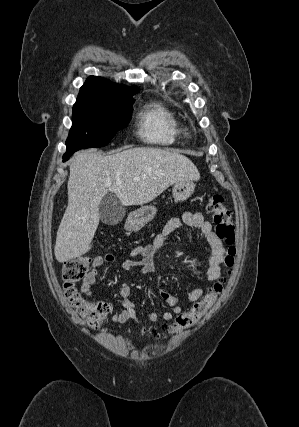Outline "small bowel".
<instances>
[{"label":"small bowel","mask_w":299,"mask_h":427,"mask_svg":"<svg viewBox=\"0 0 299 427\" xmlns=\"http://www.w3.org/2000/svg\"><path fill=\"white\" fill-rule=\"evenodd\" d=\"M187 225L196 228L206 238L210 247V256L206 263V278L210 282L218 280L221 276V264L225 256V248L221 240L214 233L212 225L207 221L200 212L186 211L178 217H174L167 221L160 232L154 237L153 241L148 244H139L135 246L130 257L122 262L121 267L128 272L138 271L145 274L155 275L159 278L158 267L156 263V255L163 248L169 236L177 230L180 225ZM115 257L112 254H104L97 256L92 261V267L83 279L81 291L86 297H92V286L98 278V269L107 262H113ZM204 294L201 287H196L188 294V300L192 303L198 301ZM131 286L128 283H123L119 289L121 311L112 316V321L115 323H125L128 320L134 321L135 324L142 326L146 322L156 323L159 320V315L156 312H150L146 319H142L136 315L134 302L130 298ZM161 297L171 307L170 311L162 314L164 321H171L174 317L181 313L178 298L167 292L161 291Z\"/></svg>","instance_id":"c3829d8e"}]
</instances>
